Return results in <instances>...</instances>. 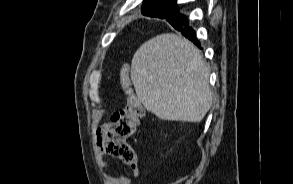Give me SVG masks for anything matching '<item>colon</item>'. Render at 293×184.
<instances>
[{
  "label": "colon",
  "mask_w": 293,
  "mask_h": 184,
  "mask_svg": "<svg viewBox=\"0 0 293 184\" xmlns=\"http://www.w3.org/2000/svg\"><path fill=\"white\" fill-rule=\"evenodd\" d=\"M120 83L127 97L126 104L112 115L102 143V151L131 165L136 162V155L127 139L135 133L144 116V108L131 88L129 67L126 64L121 68Z\"/></svg>",
  "instance_id": "5ec220e1"
}]
</instances>
